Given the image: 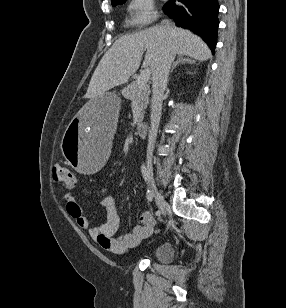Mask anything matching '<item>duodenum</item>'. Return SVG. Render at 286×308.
I'll use <instances>...</instances> for the list:
<instances>
[{"instance_id":"1","label":"duodenum","mask_w":286,"mask_h":308,"mask_svg":"<svg viewBox=\"0 0 286 308\" xmlns=\"http://www.w3.org/2000/svg\"><path fill=\"white\" fill-rule=\"evenodd\" d=\"M147 130H148V124H147V122H140V123L137 125L136 131H137V134H138L139 136H141V137L146 136Z\"/></svg>"}]
</instances>
